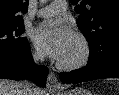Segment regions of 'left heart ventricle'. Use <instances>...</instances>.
<instances>
[{"mask_svg":"<svg viewBox=\"0 0 119 95\" xmlns=\"http://www.w3.org/2000/svg\"><path fill=\"white\" fill-rule=\"evenodd\" d=\"M80 54L81 46L79 42L73 37L67 51L60 60L64 62H70L76 60L80 56Z\"/></svg>","mask_w":119,"mask_h":95,"instance_id":"left-heart-ventricle-1","label":"left heart ventricle"}]
</instances>
